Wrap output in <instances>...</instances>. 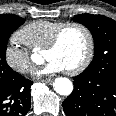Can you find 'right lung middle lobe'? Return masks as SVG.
I'll use <instances>...</instances> for the list:
<instances>
[{"mask_svg":"<svg viewBox=\"0 0 116 116\" xmlns=\"http://www.w3.org/2000/svg\"><path fill=\"white\" fill-rule=\"evenodd\" d=\"M25 19L12 15H0V82L12 79L17 72L13 71L6 62L5 52L10 35L24 23Z\"/></svg>","mask_w":116,"mask_h":116,"instance_id":"right-lung-middle-lobe-1","label":"right lung middle lobe"}]
</instances>
